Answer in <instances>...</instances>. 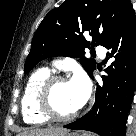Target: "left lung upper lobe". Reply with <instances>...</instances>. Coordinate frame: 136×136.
Masks as SVG:
<instances>
[{
  "mask_svg": "<svg viewBox=\"0 0 136 136\" xmlns=\"http://www.w3.org/2000/svg\"><path fill=\"white\" fill-rule=\"evenodd\" d=\"M131 8L129 0H65L45 16L35 32L24 73L48 57L81 56L82 66L91 75L96 63L82 56L90 48L83 33L93 37L91 48L94 42L103 46Z\"/></svg>",
  "mask_w": 136,
  "mask_h": 136,
  "instance_id": "5c2ea615",
  "label": "left lung upper lobe"
}]
</instances>
